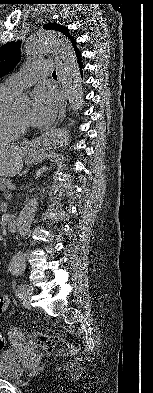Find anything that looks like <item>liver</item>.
<instances>
[{
	"instance_id": "liver-1",
	"label": "liver",
	"mask_w": 153,
	"mask_h": 393,
	"mask_svg": "<svg viewBox=\"0 0 153 393\" xmlns=\"http://www.w3.org/2000/svg\"><path fill=\"white\" fill-rule=\"evenodd\" d=\"M24 148L19 146L0 147V176L13 177L23 168Z\"/></svg>"
}]
</instances>
